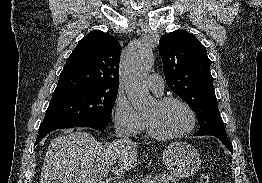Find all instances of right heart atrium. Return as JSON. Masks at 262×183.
<instances>
[{
  "instance_id": "d8ad5b80",
  "label": "right heart atrium",
  "mask_w": 262,
  "mask_h": 183,
  "mask_svg": "<svg viewBox=\"0 0 262 183\" xmlns=\"http://www.w3.org/2000/svg\"><path fill=\"white\" fill-rule=\"evenodd\" d=\"M113 123L118 132L127 136L140 134L145 122L131 104L124 98L118 97L113 107Z\"/></svg>"
}]
</instances>
